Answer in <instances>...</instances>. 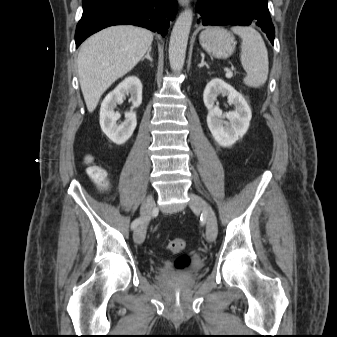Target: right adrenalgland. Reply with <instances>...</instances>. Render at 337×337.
<instances>
[{
	"label": "right adrenal gland",
	"instance_id": "2a0ac1e0",
	"mask_svg": "<svg viewBox=\"0 0 337 337\" xmlns=\"http://www.w3.org/2000/svg\"><path fill=\"white\" fill-rule=\"evenodd\" d=\"M150 52H151V48H149V50L147 51V54L141 60L143 61L144 59H148L150 60V62H153V59L150 56Z\"/></svg>",
	"mask_w": 337,
	"mask_h": 337
}]
</instances>
